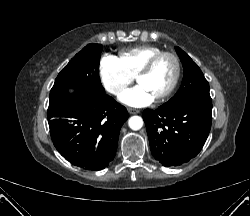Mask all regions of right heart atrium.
Wrapping results in <instances>:
<instances>
[{
	"label": "right heart atrium",
	"instance_id": "right-heart-atrium-1",
	"mask_svg": "<svg viewBox=\"0 0 250 216\" xmlns=\"http://www.w3.org/2000/svg\"><path fill=\"white\" fill-rule=\"evenodd\" d=\"M99 75L106 91L114 96L123 94L134 81V76L124 68L119 58L108 54L100 60Z\"/></svg>",
	"mask_w": 250,
	"mask_h": 216
}]
</instances>
